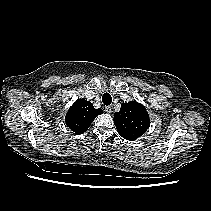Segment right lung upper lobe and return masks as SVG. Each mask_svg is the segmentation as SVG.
Here are the masks:
<instances>
[{
  "label": "right lung upper lobe",
  "instance_id": "obj_1",
  "mask_svg": "<svg viewBox=\"0 0 211 211\" xmlns=\"http://www.w3.org/2000/svg\"><path fill=\"white\" fill-rule=\"evenodd\" d=\"M103 113L101 109H95L93 104L84 99H77L69 108L65 122L75 134L87 131L94 119Z\"/></svg>",
  "mask_w": 211,
  "mask_h": 211
}]
</instances>
